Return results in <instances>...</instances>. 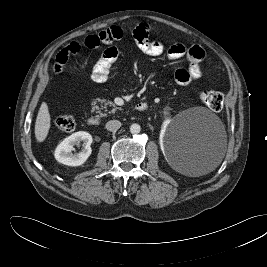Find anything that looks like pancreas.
<instances>
[{
    "instance_id": "obj_1",
    "label": "pancreas",
    "mask_w": 267,
    "mask_h": 267,
    "mask_svg": "<svg viewBox=\"0 0 267 267\" xmlns=\"http://www.w3.org/2000/svg\"><path fill=\"white\" fill-rule=\"evenodd\" d=\"M96 102L101 103L100 107L96 105ZM93 105H94L92 108L93 110L106 109L107 106L113 107V109L111 110V113H114L118 109V107H116V105L113 102L109 100L107 101L105 99H99V98L93 102Z\"/></svg>"
}]
</instances>
